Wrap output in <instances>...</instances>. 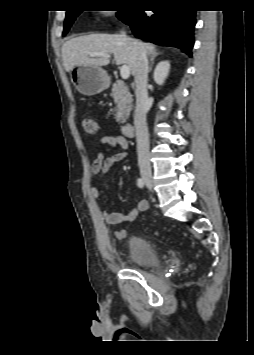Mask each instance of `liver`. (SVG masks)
<instances>
[{"label":"liver","mask_w":254,"mask_h":355,"mask_svg":"<svg viewBox=\"0 0 254 355\" xmlns=\"http://www.w3.org/2000/svg\"><path fill=\"white\" fill-rule=\"evenodd\" d=\"M146 55L156 51L149 43L124 37L119 34H90L66 41L62 46V60L66 72L78 65H94L102 67L109 64L105 57H91L92 52H102L114 55L116 65L126 64L132 75L135 74L138 51Z\"/></svg>","instance_id":"obj_1"}]
</instances>
